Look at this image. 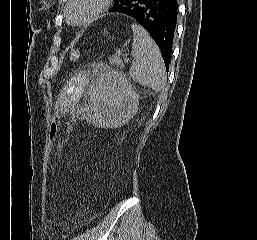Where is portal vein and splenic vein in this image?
<instances>
[{
	"label": "portal vein and splenic vein",
	"mask_w": 257,
	"mask_h": 240,
	"mask_svg": "<svg viewBox=\"0 0 257 240\" xmlns=\"http://www.w3.org/2000/svg\"><path fill=\"white\" fill-rule=\"evenodd\" d=\"M125 60H126V61H128V58H127V57H125Z\"/></svg>",
	"instance_id": "18ae733b"
}]
</instances>
